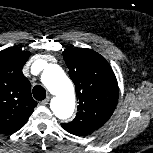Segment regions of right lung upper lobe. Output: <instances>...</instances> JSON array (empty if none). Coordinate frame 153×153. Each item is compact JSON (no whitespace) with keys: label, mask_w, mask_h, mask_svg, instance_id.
Here are the masks:
<instances>
[{"label":"right lung upper lobe","mask_w":153,"mask_h":153,"mask_svg":"<svg viewBox=\"0 0 153 153\" xmlns=\"http://www.w3.org/2000/svg\"><path fill=\"white\" fill-rule=\"evenodd\" d=\"M30 54L17 47L0 51V133L12 134L22 128L37 105L22 73Z\"/></svg>","instance_id":"cb5924a9"}]
</instances>
